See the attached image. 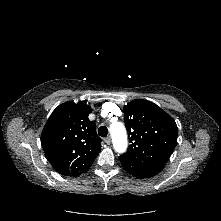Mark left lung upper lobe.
Masks as SVG:
<instances>
[{
  "label": "left lung upper lobe",
  "instance_id": "5c2ea615",
  "mask_svg": "<svg viewBox=\"0 0 221 221\" xmlns=\"http://www.w3.org/2000/svg\"><path fill=\"white\" fill-rule=\"evenodd\" d=\"M123 113L130 145L120 161L137 167H164L177 142L178 129L172 117L142 99L129 102Z\"/></svg>",
  "mask_w": 221,
  "mask_h": 221
}]
</instances>
